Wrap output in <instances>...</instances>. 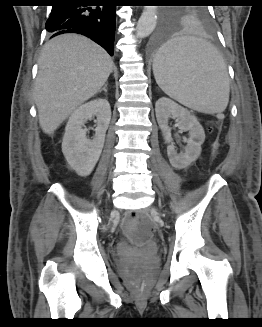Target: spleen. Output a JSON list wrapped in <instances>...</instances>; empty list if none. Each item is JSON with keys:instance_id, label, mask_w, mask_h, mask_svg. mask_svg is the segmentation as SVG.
I'll list each match as a JSON object with an SVG mask.
<instances>
[{"instance_id": "3e777b00", "label": "spleen", "mask_w": 262, "mask_h": 327, "mask_svg": "<svg viewBox=\"0 0 262 327\" xmlns=\"http://www.w3.org/2000/svg\"><path fill=\"white\" fill-rule=\"evenodd\" d=\"M153 73L169 97L199 112H223L229 102L227 66L208 41L178 36L155 54Z\"/></svg>"}]
</instances>
